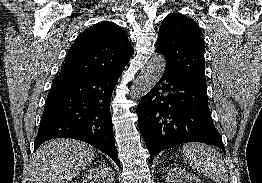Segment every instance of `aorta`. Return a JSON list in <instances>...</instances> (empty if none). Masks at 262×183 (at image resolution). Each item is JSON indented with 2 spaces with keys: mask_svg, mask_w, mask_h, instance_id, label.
<instances>
[{
  "mask_svg": "<svg viewBox=\"0 0 262 183\" xmlns=\"http://www.w3.org/2000/svg\"><path fill=\"white\" fill-rule=\"evenodd\" d=\"M166 67L164 56H153L141 70L130 88V96L133 99L146 95L160 80Z\"/></svg>",
  "mask_w": 262,
  "mask_h": 183,
  "instance_id": "1",
  "label": "aorta"
}]
</instances>
